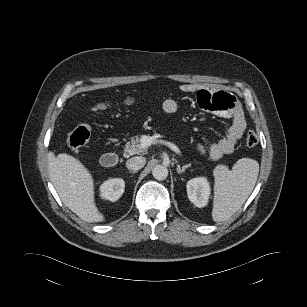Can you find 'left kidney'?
Listing matches in <instances>:
<instances>
[{
	"label": "left kidney",
	"instance_id": "1",
	"mask_svg": "<svg viewBox=\"0 0 307 307\" xmlns=\"http://www.w3.org/2000/svg\"><path fill=\"white\" fill-rule=\"evenodd\" d=\"M187 195L196 207H204L210 196V183L205 177H196L187 182Z\"/></svg>",
	"mask_w": 307,
	"mask_h": 307
}]
</instances>
